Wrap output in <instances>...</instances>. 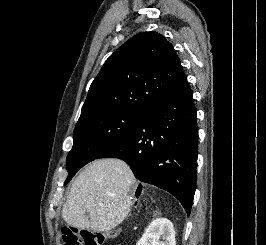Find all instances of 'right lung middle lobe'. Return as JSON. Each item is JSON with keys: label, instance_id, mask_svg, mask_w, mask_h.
Listing matches in <instances>:
<instances>
[{"label": "right lung middle lobe", "instance_id": "1", "mask_svg": "<svg viewBox=\"0 0 266 245\" xmlns=\"http://www.w3.org/2000/svg\"><path fill=\"white\" fill-rule=\"evenodd\" d=\"M144 111L104 109L79 118L73 148L67 156V184L76 172L121 142L136 126Z\"/></svg>", "mask_w": 266, "mask_h": 245}]
</instances>
